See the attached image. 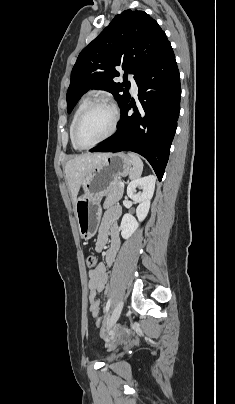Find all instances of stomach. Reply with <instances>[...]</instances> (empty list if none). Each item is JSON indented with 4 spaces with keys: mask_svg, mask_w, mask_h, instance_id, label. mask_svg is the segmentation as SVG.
<instances>
[{
    "mask_svg": "<svg viewBox=\"0 0 235 404\" xmlns=\"http://www.w3.org/2000/svg\"><path fill=\"white\" fill-rule=\"evenodd\" d=\"M132 165L128 154L110 153L84 178L81 184L84 193L74 205L81 238L87 240L96 234L102 215V197L113 181L130 173Z\"/></svg>",
    "mask_w": 235,
    "mask_h": 404,
    "instance_id": "obj_1",
    "label": "stomach"
}]
</instances>
